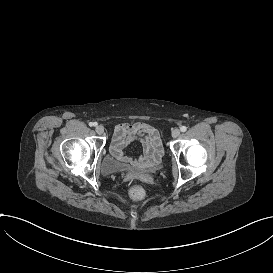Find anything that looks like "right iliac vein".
Returning a JSON list of instances; mask_svg holds the SVG:
<instances>
[{"instance_id": "1", "label": "right iliac vein", "mask_w": 273, "mask_h": 273, "mask_svg": "<svg viewBox=\"0 0 273 273\" xmlns=\"http://www.w3.org/2000/svg\"><path fill=\"white\" fill-rule=\"evenodd\" d=\"M95 131L97 134L101 135L104 132V128L101 125H97Z\"/></svg>"}]
</instances>
